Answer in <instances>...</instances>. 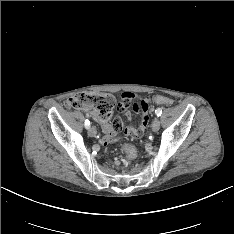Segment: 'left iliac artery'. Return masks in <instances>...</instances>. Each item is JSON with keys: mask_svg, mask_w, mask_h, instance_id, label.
Segmentation results:
<instances>
[{"mask_svg": "<svg viewBox=\"0 0 234 234\" xmlns=\"http://www.w3.org/2000/svg\"><path fill=\"white\" fill-rule=\"evenodd\" d=\"M155 114H156V116H160L161 114H162V109L161 108H157L156 110H155Z\"/></svg>", "mask_w": 234, "mask_h": 234, "instance_id": "1", "label": "left iliac artery"}]
</instances>
